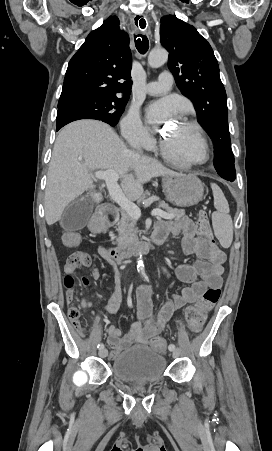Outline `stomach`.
<instances>
[{
	"instance_id": "stomach-1",
	"label": "stomach",
	"mask_w": 272,
	"mask_h": 451,
	"mask_svg": "<svg viewBox=\"0 0 272 451\" xmlns=\"http://www.w3.org/2000/svg\"><path fill=\"white\" fill-rule=\"evenodd\" d=\"M163 192L175 206H195L202 200L204 188L195 174H183L178 178H164Z\"/></svg>"
}]
</instances>
